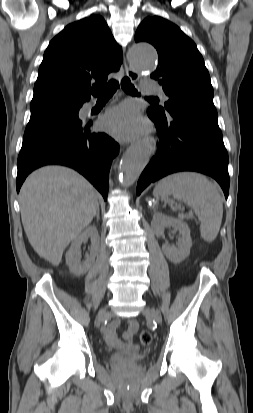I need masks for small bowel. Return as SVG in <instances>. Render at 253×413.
I'll return each mask as SVG.
<instances>
[{
	"instance_id": "obj_1",
	"label": "small bowel",
	"mask_w": 253,
	"mask_h": 413,
	"mask_svg": "<svg viewBox=\"0 0 253 413\" xmlns=\"http://www.w3.org/2000/svg\"><path fill=\"white\" fill-rule=\"evenodd\" d=\"M119 322H112L103 332L105 341L114 348H124L126 344L131 343L135 333L138 330V323L134 320L128 322L127 329L123 333L122 339L117 334Z\"/></svg>"
}]
</instances>
